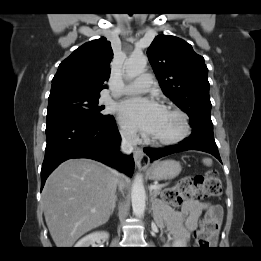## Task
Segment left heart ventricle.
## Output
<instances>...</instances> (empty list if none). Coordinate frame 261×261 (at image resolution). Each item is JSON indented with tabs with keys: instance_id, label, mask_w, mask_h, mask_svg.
I'll return each instance as SVG.
<instances>
[{
	"instance_id": "b2bd125f",
	"label": "left heart ventricle",
	"mask_w": 261,
	"mask_h": 261,
	"mask_svg": "<svg viewBox=\"0 0 261 261\" xmlns=\"http://www.w3.org/2000/svg\"><path fill=\"white\" fill-rule=\"evenodd\" d=\"M180 129L178 118L170 112L164 111L159 126L153 137L167 138L175 135Z\"/></svg>"
}]
</instances>
